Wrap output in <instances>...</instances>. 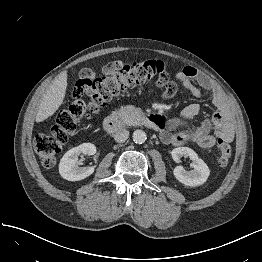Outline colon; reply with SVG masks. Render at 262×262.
I'll return each mask as SVG.
<instances>
[{"label": "colon", "instance_id": "5ec220e1", "mask_svg": "<svg viewBox=\"0 0 262 262\" xmlns=\"http://www.w3.org/2000/svg\"><path fill=\"white\" fill-rule=\"evenodd\" d=\"M154 81L163 87L169 81L166 65L160 60L148 59L130 64L112 62L105 65L96 75L90 69L79 72L75 84L77 95L69 105L60 111L55 122L44 133L34 137L33 145L45 167H52L68 137L77 128L78 122L86 108L90 112L100 110L113 96L139 84ZM86 97V103L82 100ZM215 156L220 167H226L231 159V147L224 140H218Z\"/></svg>", "mask_w": 262, "mask_h": 262}]
</instances>
